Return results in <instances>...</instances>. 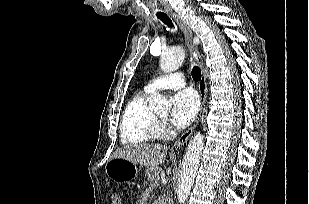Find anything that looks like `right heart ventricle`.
<instances>
[{
  "instance_id": "1",
  "label": "right heart ventricle",
  "mask_w": 309,
  "mask_h": 204,
  "mask_svg": "<svg viewBox=\"0 0 309 204\" xmlns=\"http://www.w3.org/2000/svg\"><path fill=\"white\" fill-rule=\"evenodd\" d=\"M149 95L144 91L127 104L120 126L121 141L124 144L146 143L159 136V122L148 107Z\"/></svg>"
}]
</instances>
